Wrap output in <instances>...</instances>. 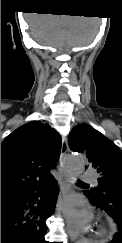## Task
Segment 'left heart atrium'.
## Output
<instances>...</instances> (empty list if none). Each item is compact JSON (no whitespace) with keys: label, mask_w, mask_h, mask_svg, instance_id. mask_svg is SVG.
Here are the masks:
<instances>
[{"label":"left heart atrium","mask_w":122,"mask_h":243,"mask_svg":"<svg viewBox=\"0 0 122 243\" xmlns=\"http://www.w3.org/2000/svg\"><path fill=\"white\" fill-rule=\"evenodd\" d=\"M68 211L73 221L78 225H86L89 221V217L85 213H77L73 209V205L69 204Z\"/></svg>","instance_id":"39dd6f15"}]
</instances>
